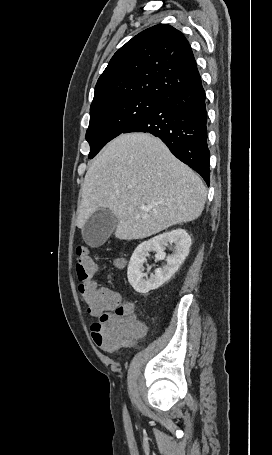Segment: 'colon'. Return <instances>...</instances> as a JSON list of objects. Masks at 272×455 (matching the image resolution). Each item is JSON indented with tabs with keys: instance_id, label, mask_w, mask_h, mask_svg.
<instances>
[{
	"instance_id": "5ec220e1",
	"label": "colon",
	"mask_w": 272,
	"mask_h": 455,
	"mask_svg": "<svg viewBox=\"0 0 272 455\" xmlns=\"http://www.w3.org/2000/svg\"><path fill=\"white\" fill-rule=\"evenodd\" d=\"M76 254L78 295L88 311L97 316L91 326L94 343L105 351H112L129 338L141 336L145 327L133 315V306L122 303L117 293L93 280L97 273L96 257L84 247H78Z\"/></svg>"
}]
</instances>
